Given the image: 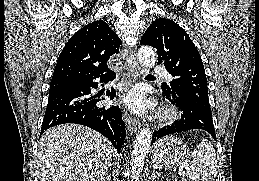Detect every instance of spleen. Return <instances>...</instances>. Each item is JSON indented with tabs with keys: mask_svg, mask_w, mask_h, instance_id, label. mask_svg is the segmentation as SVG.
I'll use <instances>...</instances> for the list:
<instances>
[{
	"mask_svg": "<svg viewBox=\"0 0 259 181\" xmlns=\"http://www.w3.org/2000/svg\"><path fill=\"white\" fill-rule=\"evenodd\" d=\"M193 160L187 164L186 175L192 181H216L218 174L217 160L213 145L207 139H202L191 153Z\"/></svg>",
	"mask_w": 259,
	"mask_h": 181,
	"instance_id": "obj_1",
	"label": "spleen"
}]
</instances>
